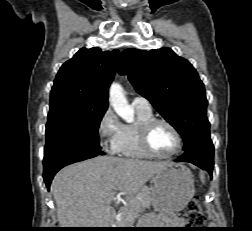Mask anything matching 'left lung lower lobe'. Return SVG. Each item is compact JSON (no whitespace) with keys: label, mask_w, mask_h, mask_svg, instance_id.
I'll return each mask as SVG.
<instances>
[{"label":"left lung lower lobe","mask_w":252,"mask_h":231,"mask_svg":"<svg viewBox=\"0 0 252 231\" xmlns=\"http://www.w3.org/2000/svg\"><path fill=\"white\" fill-rule=\"evenodd\" d=\"M214 147L212 143L196 145L176 159V162H189L202 169H205L212 176Z\"/></svg>","instance_id":"1"}]
</instances>
